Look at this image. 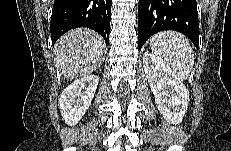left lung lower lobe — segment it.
Listing matches in <instances>:
<instances>
[{"label": "left lung lower lobe", "mask_w": 231, "mask_h": 151, "mask_svg": "<svg viewBox=\"0 0 231 151\" xmlns=\"http://www.w3.org/2000/svg\"><path fill=\"white\" fill-rule=\"evenodd\" d=\"M174 30L199 46V22L196 0H139L138 49L160 31Z\"/></svg>", "instance_id": "0a47b994"}]
</instances>
